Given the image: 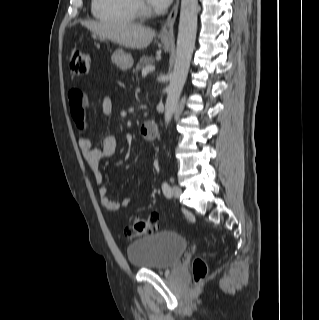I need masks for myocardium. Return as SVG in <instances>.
Wrapping results in <instances>:
<instances>
[{
    "label": "myocardium",
    "instance_id": "myocardium-1",
    "mask_svg": "<svg viewBox=\"0 0 319 320\" xmlns=\"http://www.w3.org/2000/svg\"><path fill=\"white\" fill-rule=\"evenodd\" d=\"M136 15L140 17H148L153 14L152 9L145 0H132Z\"/></svg>",
    "mask_w": 319,
    "mask_h": 320
}]
</instances>
